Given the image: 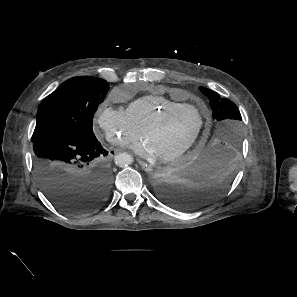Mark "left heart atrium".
I'll return each instance as SVG.
<instances>
[{
    "mask_svg": "<svg viewBox=\"0 0 297 297\" xmlns=\"http://www.w3.org/2000/svg\"><path fill=\"white\" fill-rule=\"evenodd\" d=\"M132 148L141 157L147 159H154L158 157V153L153 145L145 138L133 144Z\"/></svg>",
    "mask_w": 297,
    "mask_h": 297,
    "instance_id": "39dd6f15",
    "label": "left heart atrium"
}]
</instances>
